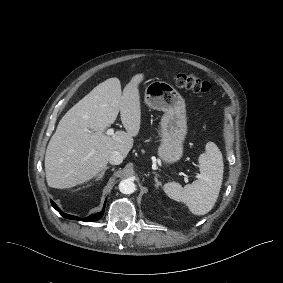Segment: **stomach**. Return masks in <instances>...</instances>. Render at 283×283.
<instances>
[{"instance_id":"1","label":"stomach","mask_w":283,"mask_h":283,"mask_svg":"<svg viewBox=\"0 0 283 283\" xmlns=\"http://www.w3.org/2000/svg\"><path fill=\"white\" fill-rule=\"evenodd\" d=\"M144 103L152 109L165 112L159 154L168 162L178 160L186 134L184 99L172 85L164 81H154L145 88Z\"/></svg>"}]
</instances>
